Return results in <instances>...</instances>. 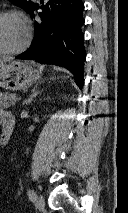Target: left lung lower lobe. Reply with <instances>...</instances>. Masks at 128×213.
<instances>
[{"label":"left lung lower lobe","mask_w":128,"mask_h":213,"mask_svg":"<svg viewBox=\"0 0 128 213\" xmlns=\"http://www.w3.org/2000/svg\"><path fill=\"white\" fill-rule=\"evenodd\" d=\"M39 13L41 22H35L32 46L16 59L55 61L70 70L81 89L84 83V61L86 52L83 45L84 24L82 0H50ZM35 5L28 12L34 17Z\"/></svg>","instance_id":"0a47b994"}]
</instances>
